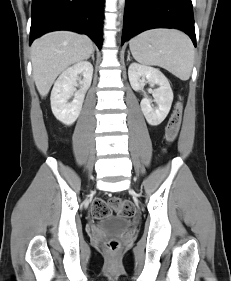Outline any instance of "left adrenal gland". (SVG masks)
<instances>
[{
    "label": "left adrenal gland",
    "mask_w": 231,
    "mask_h": 281,
    "mask_svg": "<svg viewBox=\"0 0 231 281\" xmlns=\"http://www.w3.org/2000/svg\"><path fill=\"white\" fill-rule=\"evenodd\" d=\"M127 52H128L127 61H130V51H127Z\"/></svg>",
    "instance_id": "1"
}]
</instances>
